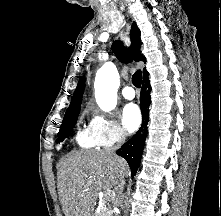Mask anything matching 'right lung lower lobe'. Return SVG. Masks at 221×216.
Masks as SVG:
<instances>
[{
  "label": "right lung lower lobe",
  "mask_w": 221,
  "mask_h": 216,
  "mask_svg": "<svg viewBox=\"0 0 221 216\" xmlns=\"http://www.w3.org/2000/svg\"><path fill=\"white\" fill-rule=\"evenodd\" d=\"M150 91L151 86L147 76L144 78V84L142 86V92L140 94V108L143 117L142 126L130 140H128L125 144L122 145L120 149L116 151L117 155L123 157L128 162L131 168L132 177H134L139 167L144 149L145 139L147 136V124L149 120L148 108L151 103Z\"/></svg>",
  "instance_id": "1"
}]
</instances>
